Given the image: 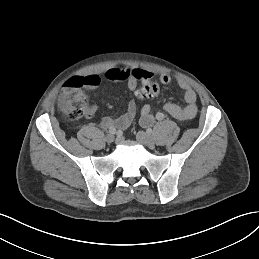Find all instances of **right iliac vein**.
I'll use <instances>...</instances> for the list:
<instances>
[{
    "label": "right iliac vein",
    "instance_id": "obj_1",
    "mask_svg": "<svg viewBox=\"0 0 259 259\" xmlns=\"http://www.w3.org/2000/svg\"><path fill=\"white\" fill-rule=\"evenodd\" d=\"M114 135L113 134H107L105 137V140L107 143H112L114 141Z\"/></svg>",
    "mask_w": 259,
    "mask_h": 259
}]
</instances>
